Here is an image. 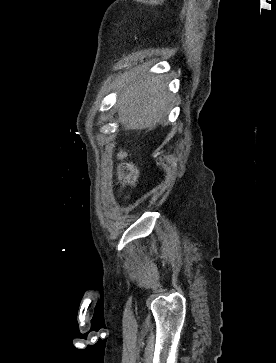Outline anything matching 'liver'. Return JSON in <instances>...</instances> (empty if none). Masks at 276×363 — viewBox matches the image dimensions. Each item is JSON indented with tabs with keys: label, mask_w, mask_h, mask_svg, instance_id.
<instances>
[{
	"label": "liver",
	"mask_w": 276,
	"mask_h": 363,
	"mask_svg": "<svg viewBox=\"0 0 276 363\" xmlns=\"http://www.w3.org/2000/svg\"><path fill=\"white\" fill-rule=\"evenodd\" d=\"M118 89L116 107L125 130L152 127L169 113L171 94L162 76H151L141 70L126 76Z\"/></svg>",
	"instance_id": "obj_1"
}]
</instances>
